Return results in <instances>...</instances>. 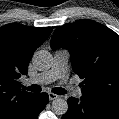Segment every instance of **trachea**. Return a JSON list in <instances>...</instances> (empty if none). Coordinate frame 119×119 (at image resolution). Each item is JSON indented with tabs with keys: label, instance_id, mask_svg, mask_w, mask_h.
Listing matches in <instances>:
<instances>
[{
	"label": "trachea",
	"instance_id": "3493384b",
	"mask_svg": "<svg viewBox=\"0 0 119 119\" xmlns=\"http://www.w3.org/2000/svg\"><path fill=\"white\" fill-rule=\"evenodd\" d=\"M24 89L32 91V92H40L41 91V87L37 84H33L30 87H24ZM52 92L55 94H58V95H63V94L67 93V91L61 87L53 88Z\"/></svg>",
	"mask_w": 119,
	"mask_h": 119
}]
</instances>
